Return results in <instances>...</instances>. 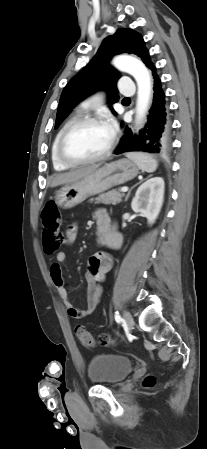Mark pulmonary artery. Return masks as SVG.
I'll list each match as a JSON object with an SVG mask.
<instances>
[{"label": "pulmonary artery", "instance_id": "e3ab8cb5", "mask_svg": "<svg viewBox=\"0 0 207 449\" xmlns=\"http://www.w3.org/2000/svg\"><path fill=\"white\" fill-rule=\"evenodd\" d=\"M120 93L125 96H132L135 93V86L132 83L131 79H129V78L124 79V83L120 87ZM101 96H102L101 94H97V95L87 99L86 101H84L82 103V105H81L82 108L88 109V108H91L92 106L96 105L97 103H99Z\"/></svg>", "mask_w": 207, "mask_h": 449}]
</instances>
